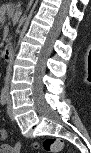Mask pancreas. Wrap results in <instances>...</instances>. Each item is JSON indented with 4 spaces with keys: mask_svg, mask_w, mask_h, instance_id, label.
I'll return each mask as SVG.
<instances>
[{
    "mask_svg": "<svg viewBox=\"0 0 91 153\" xmlns=\"http://www.w3.org/2000/svg\"><path fill=\"white\" fill-rule=\"evenodd\" d=\"M14 8L15 7L13 5H3L0 10L2 17L5 15V13H8L9 16H12Z\"/></svg>",
    "mask_w": 91,
    "mask_h": 153,
    "instance_id": "cf45deb5",
    "label": "pancreas"
}]
</instances>
